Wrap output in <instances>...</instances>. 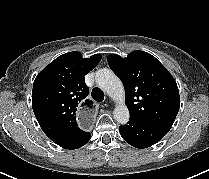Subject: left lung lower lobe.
Returning <instances> with one entry per match:
<instances>
[{
  "instance_id": "0a47b994",
  "label": "left lung lower lobe",
  "mask_w": 209,
  "mask_h": 179,
  "mask_svg": "<svg viewBox=\"0 0 209 179\" xmlns=\"http://www.w3.org/2000/svg\"><path fill=\"white\" fill-rule=\"evenodd\" d=\"M170 129L153 125L140 119L130 117L126 125L120 126L122 138L136 148H147L162 139Z\"/></svg>"
}]
</instances>
